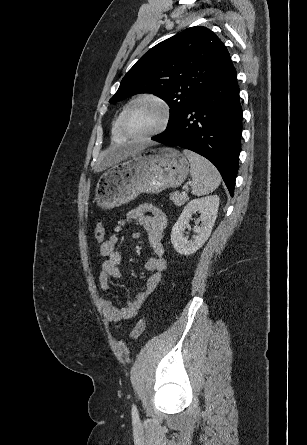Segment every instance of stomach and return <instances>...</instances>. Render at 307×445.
<instances>
[{
	"instance_id": "1",
	"label": "stomach",
	"mask_w": 307,
	"mask_h": 445,
	"mask_svg": "<svg viewBox=\"0 0 307 445\" xmlns=\"http://www.w3.org/2000/svg\"><path fill=\"white\" fill-rule=\"evenodd\" d=\"M189 162L176 148H141L126 162H117L100 176L95 198L100 208H114L134 200L141 192L157 194L180 186L187 178Z\"/></svg>"
}]
</instances>
